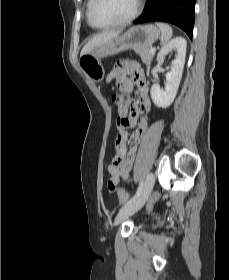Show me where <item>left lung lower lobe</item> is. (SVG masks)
<instances>
[{"label":"left lung lower lobe","instance_id":"left-lung-lower-lobe-1","mask_svg":"<svg viewBox=\"0 0 229 280\" xmlns=\"http://www.w3.org/2000/svg\"><path fill=\"white\" fill-rule=\"evenodd\" d=\"M196 0H147L143 14L134 21H162L177 25L192 39Z\"/></svg>","mask_w":229,"mask_h":280}]
</instances>
